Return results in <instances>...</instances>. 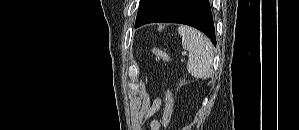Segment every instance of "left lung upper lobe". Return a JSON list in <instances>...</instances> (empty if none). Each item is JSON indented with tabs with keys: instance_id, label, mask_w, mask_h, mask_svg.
<instances>
[{
	"instance_id": "obj_1",
	"label": "left lung upper lobe",
	"mask_w": 299,
	"mask_h": 130,
	"mask_svg": "<svg viewBox=\"0 0 299 130\" xmlns=\"http://www.w3.org/2000/svg\"><path fill=\"white\" fill-rule=\"evenodd\" d=\"M150 1L151 0H141L140 1V6H139L136 22H139L141 19H143L147 15L149 7H150Z\"/></svg>"
}]
</instances>
